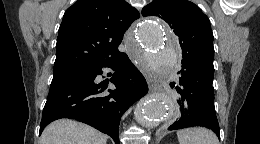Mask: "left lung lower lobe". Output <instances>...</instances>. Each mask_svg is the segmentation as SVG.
Wrapping results in <instances>:
<instances>
[{"label": "left lung lower lobe", "mask_w": 260, "mask_h": 144, "mask_svg": "<svg viewBox=\"0 0 260 144\" xmlns=\"http://www.w3.org/2000/svg\"><path fill=\"white\" fill-rule=\"evenodd\" d=\"M175 120L168 130H177L192 126L211 129L220 138L219 124L214 107V74L196 66L182 63L180 72ZM171 84V87H174Z\"/></svg>", "instance_id": "obj_1"}]
</instances>
